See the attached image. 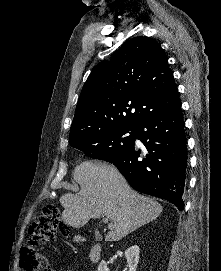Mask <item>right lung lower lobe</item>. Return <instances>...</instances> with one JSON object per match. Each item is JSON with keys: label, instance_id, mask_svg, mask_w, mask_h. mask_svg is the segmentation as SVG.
Instances as JSON below:
<instances>
[{"label": "right lung lower lobe", "instance_id": "obj_1", "mask_svg": "<svg viewBox=\"0 0 221 271\" xmlns=\"http://www.w3.org/2000/svg\"><path fill=\"white\" fill-rule=\"evenodd\" d=\"M136 128L135 139L147 152L135 149L134 142L113 164L133 189L166 199L183 210L187 145L181 103L146 118Z\"/></svg>", "mask_w": 221, "mask_h": 271}]
</instances>
